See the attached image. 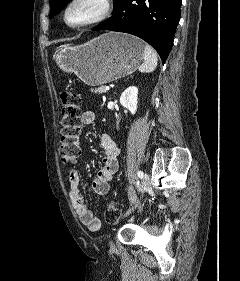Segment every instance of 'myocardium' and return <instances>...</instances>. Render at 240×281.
Masks as SVG:
<instances>
[{"mask_svg":"<svg viewBox=\"0 0 240 281\" xmlns=\"http://www.w3.org/2000/svg\"><path fill=\"white\" fill-rule=\"evenodd\" d=\"M82 0H69L62 11V22L69 28L77 29L91 26L104 21L111 13V0H97V11L87 20L79 23H70L68 21V14L72 7Z\"/></svg>","mask_w":240,"mask_h":281,"instance_id":"f54148a6","label":"myocardium"}]
</instances>
